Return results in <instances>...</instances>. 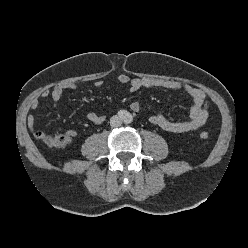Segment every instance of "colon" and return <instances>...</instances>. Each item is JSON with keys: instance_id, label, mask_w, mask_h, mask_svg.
I'll use <instances>...</instances> for the list:
<instances>
[{"instance_id": "obj_1", "label": "colon", "mask_w": 248, "mask_h": 248, "mask_svg": "<svg viewBox=\"0 0 248 248\" xmlns=\"http://www.w3.org/2000/svg\"><path fill=\"white\" fill-rule=\"evenodd\" d=\"M208 137H209V134L206 131H203L200 133L201 139L206 140V139H208ZM41 139L48 146L55 147V148L63 147L69 141V137L67 135H64L61 133H53V134L44 133L42 135Z\"/></svg>"}]
</instances>
